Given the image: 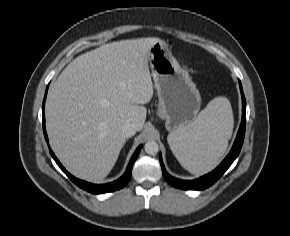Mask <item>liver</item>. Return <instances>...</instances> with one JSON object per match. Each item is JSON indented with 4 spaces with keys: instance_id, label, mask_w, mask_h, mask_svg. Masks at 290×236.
Returning a JSON list of instances; mask_svg holds the SVG:
<instances>
[{
    "instance_id": "liver-1",
    "label": "liver",
    "mask_w": 290,
    "mask_h": 236,
    "mask_svg": "<svg viewBox=\"0 0 290 236\" xmlns=\"http://www.w3.org/2000/svg\"><path fill=\"white\" fill-rule=\"evenodd\" d=\"M155 37L111 42L75 58L46 101L50 145L77 178L101 182L125 144L124 123L141 131L153 97L148 55Z\"/></svg>"
}]
</instances>
